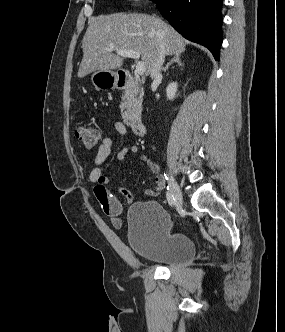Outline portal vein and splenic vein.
<instances>
[{
	"instance_id": "18ae733b",
	"label": "portal vein and splenic vein",
	"mask_w": 285,
	"mask_h": 332,
	"mask_svg": "<svg viewBox=\"0 0 285 332\" xmlns=\"http://www.w3.org/2000/svg\"><path fill=\"white\" fill-rule=\"evenodd\" d=\"M107 51H116V53L121 57H128L133 59H139L140 53L133 50H115L114 48H106ZM145 72V64L142 61H138L136 65V73L138 75H143Z\"/></svg>"
}]
</instances>
